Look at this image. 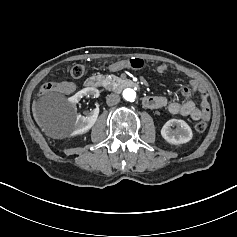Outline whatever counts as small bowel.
Here are the masks:
<instances>
[{"label": "small bowel", "mask_w": 237, "mask_h": 237, "mask_svg": "<svg viewBox=\"0 0 237 237\" xmlns=\"http://www.w3.org/2000/svg\"><path fill=\"white\" fill-rule=\"evenodd\" d=\"M128 67V61H120L110 65L112 71H117ZM168 67L165 64L158 66L157 72L164 74ZM178 70H181L177 68ZM75 85L71 82L52 83L51 91L70 94L75 91ZM193 91H198L200 94L199 106L190 99ZM183 101H169L164 96H146L143 98V105L148 109L167 108L171 114L189 116L191 119L205 120L210 116V104L208 101V94L200 82L191 77L189 84L184 86L181 90Z\"/></svg>", "instance_id": "small-bowel-1"}]
</instances>
